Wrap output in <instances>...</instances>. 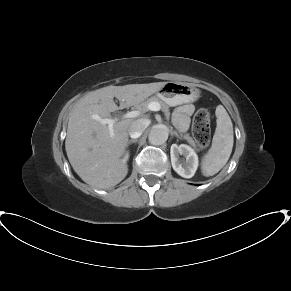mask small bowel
Masks as SVG:
<instances>
[{
    "mask_svg": "<svg viewBox=\"0 0 291 291\" xmlns=\"http://www.w3.org/2000/svg\"><path fill=\"white\" fill-rule=\"evenodd\" d=\"M194 107L191 104H184L179 107L172 116L174 124L180 129L185 130L188 127L189 116L193 113Z\"/></svg>",
    "mask_w": 291,
    "mask_h": 291,
    "instance_id": "1",
    "label": "small bowel"
}]
</instances>
